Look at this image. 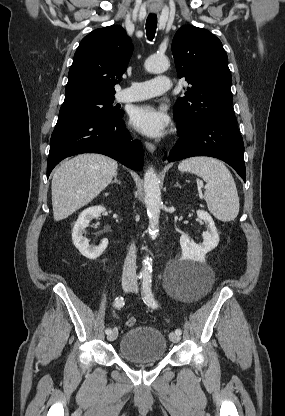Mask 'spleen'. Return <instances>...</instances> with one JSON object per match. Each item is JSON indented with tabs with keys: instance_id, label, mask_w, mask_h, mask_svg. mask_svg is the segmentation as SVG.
Here are the masks:
<instances>
[{
	"instance_id": "obj_1",
	"label": "spleen",
	"mask_w": 285,
	"mask_h": 416,
	"mask_svg": "<svg viewBox=\"0 0 285 416\" xmlns=\"http://www.w3.org/2000/svg\"><path fill=\"white\" fill-rule=\"evenodd\" d=\"M180 172H191L207 184L203 196L207 208L217 220L232 222L239 214V196L228 168L215 158H188L178 166Z\"/></svg>"
}]
</instances>
